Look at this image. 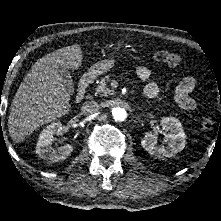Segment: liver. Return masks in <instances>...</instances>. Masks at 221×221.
Masks as SVG:
<instances>
[{
	"mask_svg": "<svg viewBox=\"0 0 221 221\" xmlns=\"http://www.w3.org/2000/svg\"><path fill=\"white\" fill-rule=\"evenodd\" d=\"M83 55L79 44L60 48L39 59L20 84L10 107L8 130L16 143L70 110V94L59 68L78 69Z\"/></svg>",
	"mask_w": 221,
	"mask_h": 221,
	"instance_id": "6515ba94",
	"label": "liver"
}]
</instances>
